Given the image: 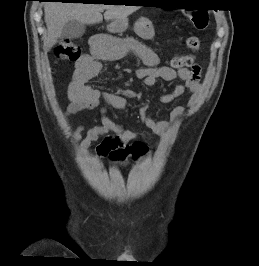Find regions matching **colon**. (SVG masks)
I'll return each mask as SVG.
<instances>
[{
  "instance_id": "colon-1",
  "label": "colon",
  "mask_w": 259,
  "mask_h": 266,
  "mask_svg": "<svg viewBox=\"0 0 259 266\" xmlns=\"http://www.w3.org/2000/svg\"><path fill=\"white\" fill-rule=\"evenodd\" d=\"M187 17L197 30H205L208 27V15L205 12H188ZM184 42L187 48H189L192 52H197L199 50L200 43L196 36H186ZM54 55L58 61L76 62L81 57V50L74 41L70 39H62L56 46ZM193 64V54L175 56L170 60V66L178 70L191 67L193 66ZM146 150L147 147L143 143L134 142L133 144L128 145L122 150L113 152L110 158L112 160H122L126 156L131 155L134 159H138L145 154Z\"/></svg>"
}]
</instances>
